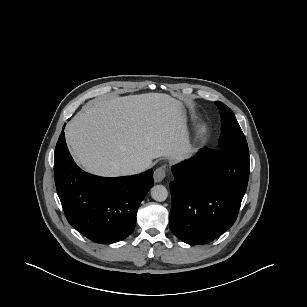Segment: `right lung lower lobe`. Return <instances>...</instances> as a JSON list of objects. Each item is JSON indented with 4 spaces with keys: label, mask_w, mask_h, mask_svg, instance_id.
<instances>
[{
    "label": "right lung lower lobe",
    "mask_w": 307,
    "mask_h": 307,
    "mask_svg": "<svg viewBox=\"0 0 307 307\" xmlns=\"http://www.w3.org/2000/svg\"><path fill=\"white\" fill-rule=\"evenodd\" d=\"M54 178L68 222L97 243L118 242L132 233L138 207L153 186L152 170L117 178L84 172L73 161L64 132L55 148Z\"/></svg>",
    "instance_id": "right-lung-lower-lobe-1"
}]
</instances>
